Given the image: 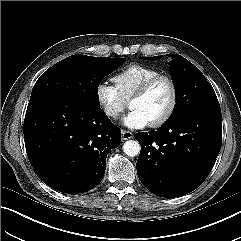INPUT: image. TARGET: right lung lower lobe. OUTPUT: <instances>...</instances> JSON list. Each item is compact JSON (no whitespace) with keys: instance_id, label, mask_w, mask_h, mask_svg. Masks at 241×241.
<instances>
[{"instance_id":"obj_1","label":"right lung lower lobe","mask_w":241,"mask_h":241,"mask_svg":"<svg viewBox=\"0 0 241 241\" xmlns=\"http://www.w3.org/2000/svg\"><path fill=\"white\" fill-rule=\"evenodd\" d=\"M23 133L34 172L63 193L96 187L105 173L107 154L121 141L119 128L100 107H84L60 96L30 101Z\"/></svg>"}]
</instances>
